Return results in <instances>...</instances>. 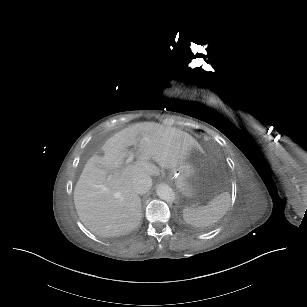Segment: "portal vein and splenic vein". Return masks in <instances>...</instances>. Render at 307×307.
<instances>
[{
	"label": "portal vein and splenic vein",
	"instance_id": "18ae733b",
	"mask_svg": "<svg viewBox=\"0 0 307 307\" xmlns=\"http://www.w3.org/2000/svg\"><path fill=\"white\" fill-rule=\"evenodd\" d=\"M133 159H134V153H133V152H130V153H129V157L125 160V163H126L127 165H130V164L132 163Z\"/></svg>",
	"mask_w": 307,
	"mask_h": 307
}]
</instances>
